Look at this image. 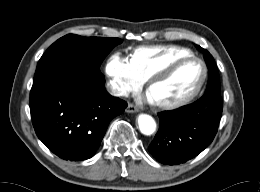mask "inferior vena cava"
<instances>
[{
  "instance_id": "1",
  "label": "inferior vena cava",
  "mask_w": 260,
  "mask_h": 192,
  "mask_svg": "<svg viewBox=\"0 0 260 192\" xmlns=\"http://www.w3.org/2000/svg\"><path fill=\"white\" fill-rule=\"evenodd\" d=\"M107 91L112 95V96H127L128 92L116 84L115 82L111 83L109 82L106 86Z\"/></svg>"
}]
</instances>
